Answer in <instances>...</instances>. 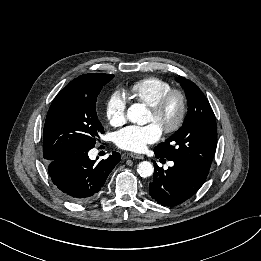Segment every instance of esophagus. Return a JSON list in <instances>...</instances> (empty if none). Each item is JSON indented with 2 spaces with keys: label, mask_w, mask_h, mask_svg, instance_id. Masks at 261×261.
Wrapping results in <instances>:
<instances>
[{
  "label": "esophagus",
  "mask_w": 261,
  "mask_h": 261,
  "mask_svg": "<svg viewBox=\"0 0 261 261\" xmlns=\"http://www.w3.org/2000/svg\"><path fill=\"white\" fill-rule=\"evenodd\" d=\"M129 156L134 159H144L143 155L136 154V153H130Z\"/></svg>",
  "instance_id": "esophagus-1"
}]
</instances>
